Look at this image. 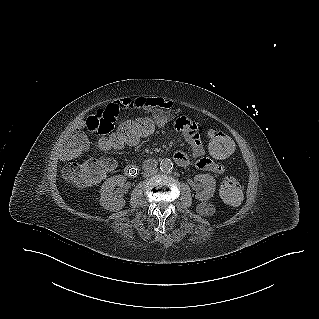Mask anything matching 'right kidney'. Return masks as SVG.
<instances>
[{"instance_id": "1", "label": "right kidney", "mask_w": 319, "mask_h": 319, "mask_svg": "<svg viewBox=\"0 0 319 319\" xmlns=\"http://www.w3.org/2000/svg\"><path fill=\"white\" fill-rule=\"evenodd\" d=\"M125 181L126 177L122 175H116L108 178L103 183L99 201L104 209L109 211H119L125 206L126 201L122 198V194H118L121 192H114L115 187H123Z\"/></svg>"}]
</instances>
